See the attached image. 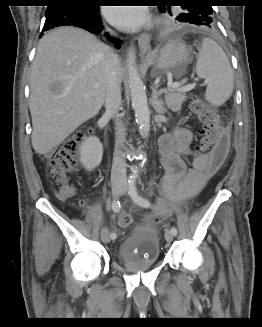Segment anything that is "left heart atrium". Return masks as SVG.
Wrapping results in <instances>:
<instances>
[{
  "label": "left heart atrium",
  "instance_id": "1",
  "mask_svg": "<svg viewBox=\"0 0 262 327\" xmlns=\"http://www.w3.org/2000/svg\"><path fill=\"white\" fill-rule=\"evenodd\" d=\"M106 19L115 27L131 31L144 26L149 19L147 9L131 5V7L109 6L104 11Z\"/></svg>",
  "mask_w": 262,
  "mask_h": 327
}]
</instances>
